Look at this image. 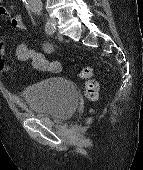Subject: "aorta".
<instances>
[{"instance_id": "obj_1", "label": "aorta", "mask_w": 143, "mask_h": 170, "mask_svg": "<svg viewBox=\"0 0 143 170\" xmlns=\"http://www.w3.org/2000/svg\"><path fill=\"white\" fill-rule=\"evenodd\" d=\"M24 2L32 12L39 13L42 10V0H24Z\"/></svg>"}]
</instances>
